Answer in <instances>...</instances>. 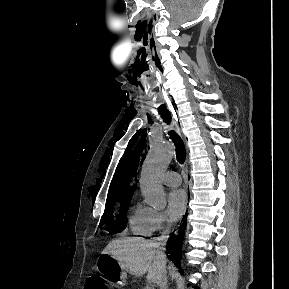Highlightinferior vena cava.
I'll return each mask as SVG.
<instances>
[{
	"mask_svg": "<svg viewBox=\"0 0 289 289\" xmlns=\"http://www.w3.org/2000/svg\"><path fill=\"white\" fill-rule=\"evenodd\" d=\"M169 233H170L169 229L164 231L163 236L161 238V241L157 246V256L160 259V262L164 267V274L161 276V278L158 281V285H159L160 289H168V280H167L166 269H165L166 255L163 251V246L167 242V239L169 237Z\"/></svg>",
	"mask_w": 289,
	"mask_h": 289,
	"instance_id": "inferior-vena-cava-1",
	"label": "inferior vena cava"
}]
</instances>
